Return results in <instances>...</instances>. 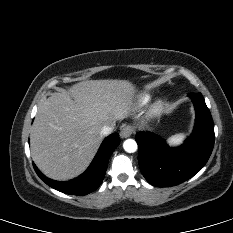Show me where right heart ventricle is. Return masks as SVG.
<instances>
[{"instance_id": "e07e8e85", "label": "right heart ventricle", "mask_w": 233, "mask_h": 233, "mask_svg": "<svg viewBox=\"0 0 233 233\" xmlns=\"http://www.w3.org/2000/svg\"><path fill=\"white\" fill-rule=\"evenodd\" d=\"M150 99H151L150 94H141L140 96H138L136 103L138 106H143L147 104L150 101Z\"/></svg>"}]
</instances>
